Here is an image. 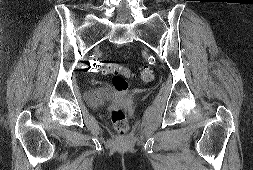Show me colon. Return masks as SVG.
I'll list each match as a JSON object with an SVG mask.
<instances>
[{
    "mask_svg": "<svg viewBox=\"0 0 253 170\" xmlns=\"http://www.w3.org/2000/svg\"><path fill=\"white\" fill-rule=\"evenodd\" d=\"M102 72L112 76V82L115 89L124 94L129 87L127 78L131 76L129 69L116 63L102 64ZM139 78L144 83H149L154 79V72L147 66L140 69ZM111 120L117 135L124 138L128 131V120L123 108H114L111 111Z\"/></svg>",
    "mask_w": 253,
    "mask_h": 170,
    "instance_id": "5ec220e1",
    "label": "colon"
}]
</instances>
